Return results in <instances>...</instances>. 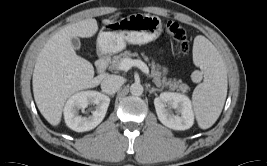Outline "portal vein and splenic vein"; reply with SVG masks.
Returning <instances> with one entry per match:
<instances>
[{"label":"portal vein and splenic vein","instance_id":"1","mask_svg":"<svg viewBox=\"0 0 267 166\" xmlns=\"http://www.w3.org/2000/svg\"><path fill=\"white\" fill-rule=\"evenodd\" d=\"M133 66L139 68L142 72H144L147 76H149L148 66L142 60L139 59L126 58L123 61H121L119 69L123 71H128Z\"/></svg>","mask_w":267,"mask_h":166}]
</instances>
